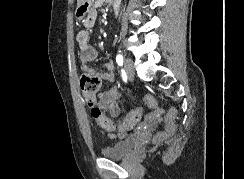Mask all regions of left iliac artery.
<instances>
[{"instance_id": "44dca946", "label": "left iliac artery", "mask_w": 244, "mask_h": 179, "mask_svg": "<svg viewBox=\"0 0 244 179\" xmlns=\"http://www.w3.org/2000/svg\"><path fill=\"white\" fill-rule=\"evenodd\" d=\"M116 62L118 63L119 66L123 65V56L118 54L116 56Z\"/></svg>"}]
</instances>
